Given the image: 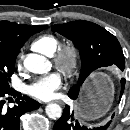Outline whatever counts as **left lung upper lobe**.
Listing matches in <instances>:
<instances>
[{
  "label": "left lung upper lobe",
  "mask_w": 130,
  "mask_h": 130,
  "mask_svg": "<svg viewBox=\"0 0 130 130\" xmlns=\"http://www.w3.org/2000/svg\"><path fill=\"white\" fill-rule=\"evenodd\" d=\"M52 28L72 40L80 50L82 68L78 84L68 94L78 96L85 80L97 69L112 64L125 66L122 48L117 38L101 26L89 21H73L56 24ZM124 85H121V95Z\"/></svg>",
  "instance_id": "5c2ea615"
}]
</instances>
